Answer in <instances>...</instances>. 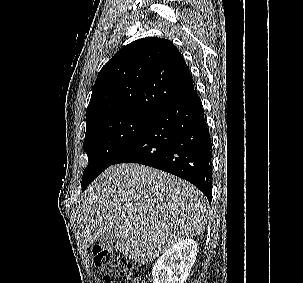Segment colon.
<instances>
[{
	"label": "colon",
	"instance_id": "colon-1",
	"mask_svg": "<svg viewBox=\"0 0 303 283\" xmlns=\"http://www.w3.org/2000/svg\"><path fill=\"white\" fill-rule=\"evenodd\" d=\"M92 258L106 283H149L132 262L107 248L93 247Z\"/></svg>",
	"mask_w": 303,
	"mask_h": 283
}]
</instances>
